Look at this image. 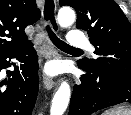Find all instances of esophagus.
<instances>
[{"label":"esophagus","instance_id":"34e87169","mask_svg":"<svg viewBox=\"0 0 131 115\" xmlns=\"http://www.w3.org/2000/svg\"><path fill=\"white\" fill-rule=\"evenodd\" d=\"M56 10H57V3L56 0H43V7H42V17L44 25H50L54 32H58L59 26L56 17ZM45 42H46V58L51 59L53 57H57L58 53L55 50L54 46L52 45L48 34H45ZM43 84L47 90H51L55 82L54 80L47 76L43 75Z\"/></svg>","mask_w":131,"mask_h":115}]
</instances>
